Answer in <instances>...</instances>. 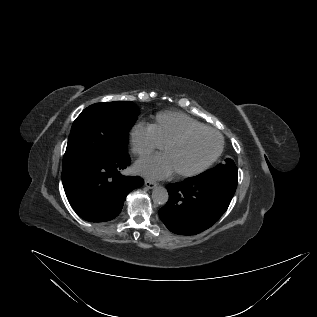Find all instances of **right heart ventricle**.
<instances>
[{
  "mask_svg": "<svg viewBox=\"0 0 317 317\" xmlns=\"http://www.w3.org/2000/svg\"><path fill=\"white\" fill-rule=\"evenodd\" d=\"M158 141L164 145L166 141L188 128L204 127L201 122L176 111H163L155 115L150 125Z\"/></svg>",
  "mask_w": 317,
  "mask_h": 317,
  "instance_id": "e07e8e85",
  "label": "right heart ventricle"
}]
</instances>
